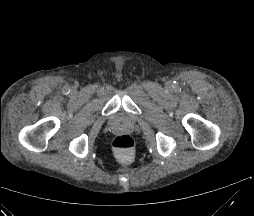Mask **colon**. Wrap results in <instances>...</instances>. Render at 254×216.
Instances as JSON below:
<instances>
[{
    "instance_id": "obj_1",
    "label": "colon",
    "mask_w": 254,
    "mask_h": 216,
    "mask_svg": "<svg viewBox=\"0 0 254 216\" xmlns=\"http://www.w3.org/2000/svg\"><path fill=\"white\" fill-rule=\"evenodd\" d=\"M113 147L117 157L127 161L133 155L134 142L129 135L120 134L114 139Z\"/></svg>"
}]
</instances>
